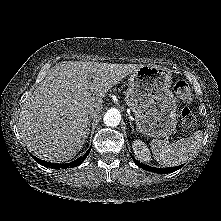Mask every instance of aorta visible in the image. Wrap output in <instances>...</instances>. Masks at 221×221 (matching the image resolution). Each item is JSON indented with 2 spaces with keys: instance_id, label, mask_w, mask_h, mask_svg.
<instances>
[{
  "instance_id": "aorta-1",
  "label": "aorta",
  "mask_w": 221,
  "mask_h": 221,
  "mask_svg": "<svg viewBox=\"0 0 221 221\" xmlns=\"http://www.w3.org/2000/svg\"><path fill=\"white\" fill-rule=\"evenodd\" d=\"M104 124L106 126L115 127L119 125L121 121V114L118 109L111 108L109 109L103 117Z\"/></svg>"
}]
</instances>
